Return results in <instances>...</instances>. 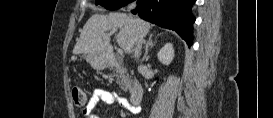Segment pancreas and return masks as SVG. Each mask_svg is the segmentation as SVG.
Segmentation results:
<instances>
[{
  "label": "pancreas",
  "mask_w": 273,
  "mask_h": 118,
  "mask_svg": "<svg viewBox=\"0 0 273 118\" xmlns=\"http://www.w3.org/2000/svg\"><path fill=\"white\" fill-rule=\"evenodd\" d=\"M116 82L119 84L120 88L127 92L131 89L132 80L129 78L128 75H126L124 72H122L120 69H116Z\"/></svg>",
  "instance_id": "cf45deb5"
}]
</instances>
